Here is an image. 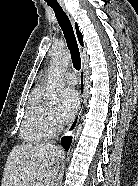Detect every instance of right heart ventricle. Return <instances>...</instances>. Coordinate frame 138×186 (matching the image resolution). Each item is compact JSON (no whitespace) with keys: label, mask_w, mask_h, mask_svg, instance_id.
I'll return each mask as SVG.
<instances>
[{"label":"right heart ventricle","mask_w":138,"mask_h":186,"mask_svg":"<svg viewBox=\"0 0 138 186\" xmlns=\"http://www.w3.org/2000/svg\"><path fill=\"white\" fill-rule=\"evenodd\" d=\"M49 108L41 98L40 92L35 91L26 108L20 134L28 142L42 141L50 136L47 126Z\"/></svg>","instance_id":"obj_1"}]
</instances>
